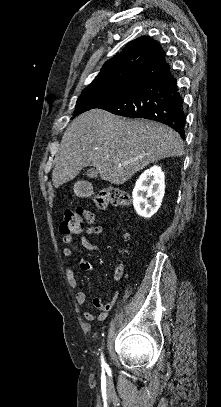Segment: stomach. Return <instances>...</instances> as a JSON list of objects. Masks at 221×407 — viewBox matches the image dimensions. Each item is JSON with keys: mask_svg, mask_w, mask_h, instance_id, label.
Here are the masks:
<instances>
[{"mask_svg": "<svg viewBox=\"0 0 221 407\" xmlns=\"http://www.w3.org/2000/svg\"><path fill=\"white\" fill-rule=\"evenodd\" d=\"M75 192H77L78 194H81V193H82L79 184H76V185H75Z\"/></svg>", "mask_w": 221, "mask_h": 407, "instance_id": "obj_1", "label": "stomach"}]
</instances>
